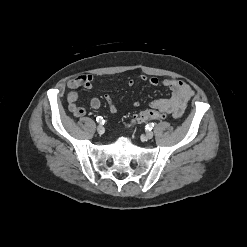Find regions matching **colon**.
Wrapping results in <instances>:
<instances>
[{"instance_id": "obj_1", "label": "colon", "mask_w": 247, "mask_h": 247, "mask_svg": "<svg viewBox=\"0 0 247 247\" xmlns=\"http://www.w3.org/2000/svg\"><path fill=\"white\" fill-rule=\"evenodd\" d=\"M163 117V114L160 113L158 110L156 109H147L144 110L142 112H140L139 114H137L134 118V121L136 122H146L149 120H159Z\"/></svg>"}]
</instances>
